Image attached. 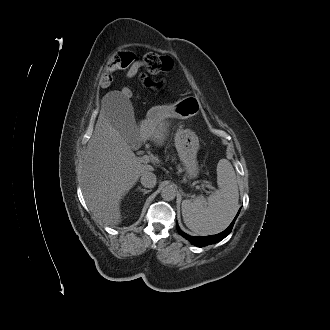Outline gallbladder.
<instances>
[{"mask_svg": "<svg viewBox=\"0 0 330 330\" xmlns=\"http://www.w3.org/2000/svg\"><path fill=\"white\" fill-rule=\"evenodd\" d=\"M113 114L114 127L131 142L136 137V122L132 105L129 102H122L115 107Z\"/></svg>", "mask_w": 330, "mask_h": 330, "instance_id": "obj_1", "label": "gallbladder"}]
</instances>
